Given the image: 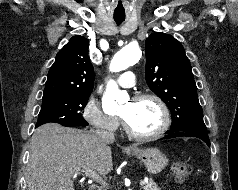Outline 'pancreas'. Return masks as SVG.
<instances>
[{
    "label": "pancreas",
    "mask_w": 238,
    "mask_h": 190,
    "mask_svg": "<svg viewBox=\"0 0 238 190\" xmlns=\"http://www.w3.org/2000/svg\"><path fill=\"white\" fill-rule=\"evenodd\" d=\"M99 190H107V187H103ZM143 190H161L153 180H150L145 186H143Z\"/></svg>",
    "instance_id": "pancreas-1"
}]
</instances>
